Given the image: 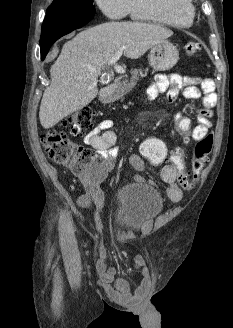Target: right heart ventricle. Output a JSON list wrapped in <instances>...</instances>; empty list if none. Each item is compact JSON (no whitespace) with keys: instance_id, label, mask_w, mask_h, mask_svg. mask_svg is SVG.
Returning a JSON list of instances; mask_svg holds the SVG:
<instances>
[{"instance_id":"obj_1","label":"right heart ventricle","mask_w":233,"mask_h":328,"mask_svg":"<svg viewBox=\"0 0 233 328\" xmlns=\"http://www.w3.org/2000/svg\"><path fill=\"white\" fill-rule=\"evenodd\" d=\"M128 14L134 20L185 28L193 23L192 0H129Z\"/></svg>"}]
</instances>
